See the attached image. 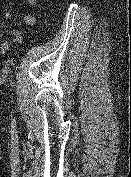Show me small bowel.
Returning a JSON list of instances; mask_svg holds the SVG:
<instances>
[{"label": "small bowel", "instance_id": "c3829d8e", "mask_svg": "<svg viewBox=\"0 0 131 177\" xmlns=\"http://www.w3.org/2000/svg\"><path fill=\"white\" fill-rule=\"evenodd\" d=\"M27 3L30 7H36L37 5V0H27ZM2 14H3V17L5 19H10L12 17V14L11 12L9 11V9L7 8L6 5L3 6V9H2ZM23 19H24V22L29 25V26H33L36 24V17L34 14H31V13H26L23 11ZM6 31H0V39L5 35ZM11 34L16 38V39H19V34L15 31H12ZM10 52V46L8 43L6 42H3L1 45H0V53L1 54H7Z\"/></svg>", "mask_w": 131, "mask_h": 177}]
</instances>
